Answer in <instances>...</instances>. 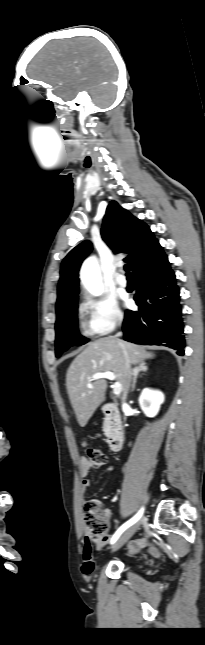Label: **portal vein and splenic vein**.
Here are the masks:
<instances>
[{"label":"portal vein and splenic vein","instance_id":"portal-vein-and-splenic-vein-1","mask_svg":"<svg viewBox=\"0 0 205 645\" xmlns=\"http://www.w3.org/2000/svg\"><path fill=\"white\" fill-rule=\"evenodd\" d=\"M101 378H107L108 380L113 381L115 380V375L112 372H98L92 376V378L90 379V382ZM90 382L87 384L89 388L92 387ZM121 392H122V385L119 382H115L113 385V393L115 395H119Z\"/></svg>","mask_w":205,"mask_h":645}]
</instances>
